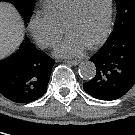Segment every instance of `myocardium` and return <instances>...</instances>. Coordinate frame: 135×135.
Returning <instances> with one entry per match:
<instances>
[{"label": "myocardium", "mask_w": 135, "mask_h": 135, "mask_svg": "<svg viewBox=\"0 0 135 135\" xmlns=\"http://www.w3.org/2000/svg\"><path fill=\"white\" fill-rule=\"evenodd\" d=\"M83 1L84 0H77L75 2L72 11L66 18L65 23L63 25L64 30L66 29L67 25L77 17ZM108 3H109L108 15H107V22H106L105 29H104L103 33L100 35V37H98L95 41H93L87 45V47H89V48H94V47H97L100 44H102L107 39V37L109 36V34L111 32L112 20H113V0H108Z\"/></svg>", "instance_id": "myocardium-1"}]
</instances>
